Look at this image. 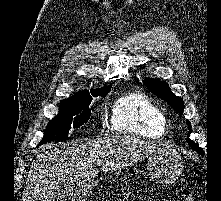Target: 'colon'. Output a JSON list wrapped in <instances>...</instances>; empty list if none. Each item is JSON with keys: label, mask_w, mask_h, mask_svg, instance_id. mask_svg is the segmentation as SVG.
I'll return each mask as SVG.
<instances>
[{"label": "colon", "mask_w": 221, "mask_h": 201, "mask_svg": "<svg viewBox=\"0 0 221 201\" xmlns=\"http://www.w3.org/2000/svg\"><path fill=\"white\" fill-rule=\"evenodd\" d=\"M183 201H196L192 195V190L189 187H185L182 190Z\"/></svg>", "instance_id": "5ec220e1"}]
</instances>
